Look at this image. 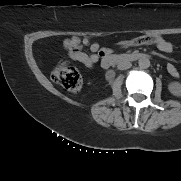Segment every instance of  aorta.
<instances>
[{
	"label": "aorta",
	"instance_id": "aorta-1",
	"mask_svg": "<svg viewBox=\"0 0 181 181\" xmlns=\"http://www.w3.org/2000/svg\"><path fill=\"white\" fill-rule=\"evenodd\" d=\"M138 65L141 68H148L150 66V60L147 56H142L139 60H138Z\"/></svg>",
	"mask_w": 181,
	"mask_h": 181
}]
</instances>
